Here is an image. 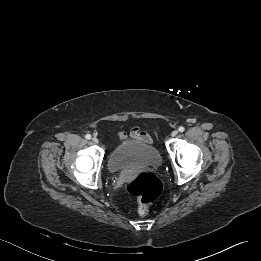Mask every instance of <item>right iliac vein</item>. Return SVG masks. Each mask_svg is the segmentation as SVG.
Wrapping results in <instances>:
<instances>
[{"instance_id":"obj_1","label":"right iliac vein","mask_w":261,"mask_h":261,"mask_svg":"<svg viewBox=\"0 0 261 261\" xmlns=\"http://www.w3.org/2000/svg\"><path fill=\"white\" fill-rule=\"evenodd\" d=\"M92 141H93L94 143H96V144L99 142V140H98L97 137H93V138H92Z\"/></svg>"}]
</instances>
